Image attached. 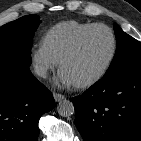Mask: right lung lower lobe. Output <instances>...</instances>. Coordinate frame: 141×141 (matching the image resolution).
<instances>
[{"label": "right lung lower lobe", "instance_id": "98d812e1", "mask_svg": "<svg viewBox=\"0 0 141 141\" xmlns=\"http://www.w3.org/2000/svg\"><path fill=\"white\" fill-rule=\"evenodd\" d=\"M54 106L29 66L0 67V141H37L39 119Z\"/></svg>", "mask_w": 141, "mask_h": 141}]
</instances>
